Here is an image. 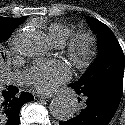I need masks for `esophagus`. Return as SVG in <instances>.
Here are the masks:
<instances>
[{"instance_id": "obj_1", "label": "esophagus", "mask_w": 125, "mask_h": 125, "mask_svg": "<svg viewBox=\"0 0 125 125\" xmlns=\"http://www.w3.org/2000/svg\"><path fill=\"white\" fill-rule=\"evenodd\" d=\"M40 99H51L53 95H48V94H38L37 95Z\"/></svg>"}]
</instances>
